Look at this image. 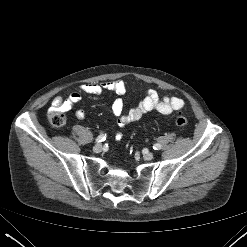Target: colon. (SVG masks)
Returning a JSON list of instances; mask_svg holds the SVG:
<instances>
[{
    "mask_svg": "<svg viewBox=\"0 0 247 247\" xmlns=\"http://www.w3.org/2000/svg\"><path fill=\"white\" fill-rule=\"evenodd\" d=\"M48 119L50 124L55 128L63 127L67 121V117L65 113L59 109L51 110L48 114ZM175 124L179 127H185L188 124V120L183 114L178 113L175 117ZM121 138H122V133L117 132L116 140H121Z\"/></svg>",
    "mask_w": 247,
    "mask_h": 247,
    "instance_id": "obj_1",
    "label": "colon"
}]
</instances>
